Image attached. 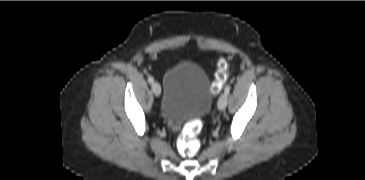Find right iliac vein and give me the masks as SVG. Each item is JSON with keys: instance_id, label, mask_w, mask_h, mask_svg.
<instances>
[{"instance_id": "obj_1", "label": "right iliac vein", "mask_w": 365, "mask_h": 180, "mask_svg": "<svg viewBox=\"0 0 365 180\" xmlns=\"http://www.w3.org/2000/svg\"><path fill=\"white\" fill-rule=\"evenodd\" d=\"M152 91L154 92V94L156 96H160V94H161V87H160L159 83H157V82H153L152 83Z\"/></svg>"}]
</instances>
